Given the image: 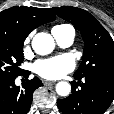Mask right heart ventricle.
<instances>
[{
  "instance_id": "obj_1",
  "label": "right heart ventricle",
  "mask_w": 114,
  "mask_h": 114,
  "mask_svg": "<svg viewBox=\"0 0 114 114\" xmlns=\"http://www.w3.org/2000/svg\"><path fill=\"white\" fill-rule=\"evenodd\" d=\"M66 25H57V26H55L54 28H58V29H60V28H63V27H65ZM53 28V29H54Z\"/></svg>"
}]
</instances>
